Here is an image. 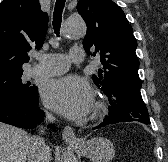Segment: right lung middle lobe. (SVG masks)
<instances>
[{
    "instance_id": "1",
    "label": "right lung middle lobe",
    "mask_w": 168,
    "mask_h": 162,
    "mask_svg": "<svg viewBox=\"0 0 168 162\" xmlns=\"http://www.w3.org/2000/svg\"><path fill=\"white\" fill-rule=\"evenodd\" d=\"M22 73H9L0 75V96H14L21 99L32 97L36 91V86H29L22 82Z\"/></svg>"
}]
</instances>
